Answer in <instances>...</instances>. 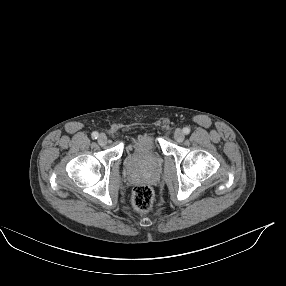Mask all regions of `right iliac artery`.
<instances>
[{"instance_id": "right-iliac-artery-1", "label": "right iliac artery", "mask_w": 286, "mask_h": 286, "mask_svg": "<svg viewBox=\"0 0 286 286\" xmlns=\"http://www.w3.org/2000/svg\"><path fill=\"white\" fill-rule=\"evenodd\" d=\"M99 136L98 132H93L92 133V138L97 139Z\"/></svg>"}]
</instances>
